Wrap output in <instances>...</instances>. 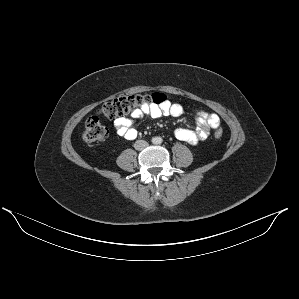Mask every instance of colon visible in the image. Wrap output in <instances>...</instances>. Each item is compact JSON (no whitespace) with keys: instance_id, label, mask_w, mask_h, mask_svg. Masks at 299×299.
I'll return each instance as SVG.
<instances>
[{"instance_id":"colon-1","label":"colon","mask_w":299,"mask_h":299,"mask_svg":"<svg viewBox=\"0 0 299 299\" xmlns=\"http://www.w3.org/2000/svg\"><path fill=\"white\" fill-rule=\"evenodd\" d=\"M164 100V96L160 93L123 96L103 103L98 113L104 118L114 119L146 106L161 105ZM107 133V128L100 122L99 118L93 116L86 120L81 137L86 143L99 142L106 138ZM222 136V130L216 129L215 137L220 139Z\"/></svg>"}]
</instances>
